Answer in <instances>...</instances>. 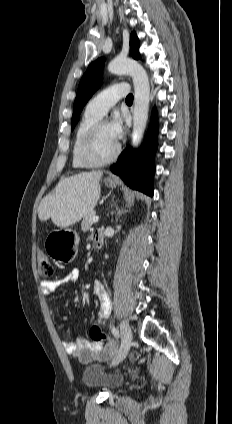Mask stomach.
Returning <instances> with one entry per match:
<instances>
[{
	"label": "stomach",
	"instance_id": "1",
	"mask_svg": "<svg viewBox=\"0 0 232 424\" xmlns=\"http://www.w3.org/2000/svg\"><path fill=\"white\" fill-rule=\"evenodd\" d=\"M104 183L107 187H115L114 179L106 178ZM79 237L71 229H60L52 231L45 239L44 248L46 253L59 263L71 262L77 254Z\"/></svg>",
	"mask_w": 232,
	"mask_h": 424
}]
</instances>
